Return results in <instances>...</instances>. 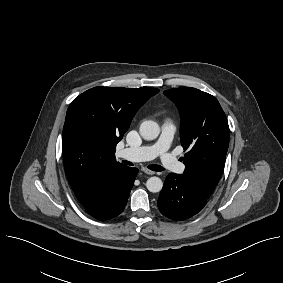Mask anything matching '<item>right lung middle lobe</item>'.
I'll use <instances>...</instances> for the list:
<instances>
[{
	"label": "right lung middle lobe",
	"instance_id": "1",
	"mask_svg": "<svg viewBox=\"0 0 283 283\" xmlns=\"http://www.w3.org/2000/svg\"><path fill=\"white\" fill-rule=\"evenodd\" d=\"M72 119L74 124L81 130L88 133H93L96 130V120L90 109L85 107L83 104H75L72 108Z\"/></svg>",
	"mask_w": 283,
	"mask_h": 283
}]
</instances>
